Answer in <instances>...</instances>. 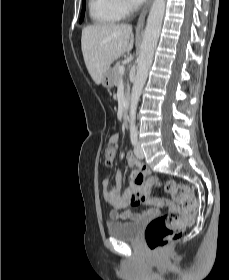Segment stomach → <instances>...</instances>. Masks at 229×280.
<instances>
[{
    "mask_svg": "<svg viewBox=\"0 0 229 280\" xmlns=\"http://www.w3.org/2000/svg\"><path fill=\"white\" fill-rule=\"evenodd\" d=\"M102 86L106 89H111L114 86V72L113 69L109 68L103 76L101 81Z\"/></svg>",
    "mask_w": 229,
    "mask_h": 280,
    "instance_id": "stomach-1",
    "label": "stomach"
}]
</instances>
